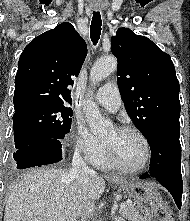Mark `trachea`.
<instances>
[{
  "instance_id": "obj_1",
  "label": "trachea",
  "mask_w": 190,
  "mask_h": 221,
  "mask_svg": "<svg viewBox=\"0 0 190 221\" xmlns=\"http://www.w3.org/2000/svg\"><path fill=\"white\" fill-rule=\"evenodd\" d=\"M102 20L100 12H93V17L90 26V38L94 45L99 41L101 35Z\"/></svg>"
}]
</instances>
